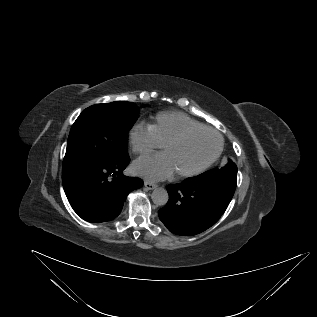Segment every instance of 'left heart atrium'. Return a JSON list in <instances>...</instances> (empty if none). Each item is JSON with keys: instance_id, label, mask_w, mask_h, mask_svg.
Masks as SVG:
<instances>
[{"instance_id": "left-heart-atrium-1", "label": "left heart atrium", "mask_w": 317, "mask_h": 317, "mask_svg": "<svg viewBox=\"0 0 317 317\" xmlns=\"http://www.w3.org/2000/svg\"><path fill=\"white\" fill-rule=\"evenodd\" d=\"M134 171L142 176L161 180L170 177L173 167L164 153L143 157L133 164Z\"/></svg>"}]
</instances>
